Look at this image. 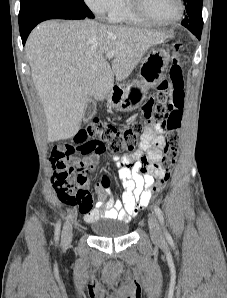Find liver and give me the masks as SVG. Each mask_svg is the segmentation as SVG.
Here are the masks:
<instances>
[{"instance_id": "1", "label": "liver", "mask_w": 227, "mask_h": 298, "mask_svg": "<svg viewBox=\"0 0 227 298\" xmlns=\"http://www.w3.org/2000/svg\"><path fill=\"white\" fill-rule=\"evenodd\" d=\"M168 33L104 25L94 20H49L29 35L25 52L43 104L47 140L76 135L88 96L104 100L117 80L127 78L145 52ZM114 51L112 68L104 54Z\"/></svg>"}]
</instances>
